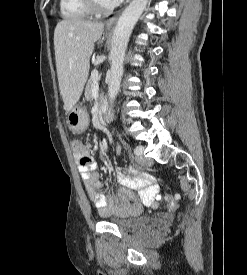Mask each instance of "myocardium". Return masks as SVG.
<instances>
[{
  "mask_svg": "<svg viewBox=\"0 0 247 275\" xmlns=\"http://www.w3.org/2000/svg\"><path fill=\"white\" fill-rule=\"evenodd\" d=\"M86 7L89 9L90 12L94 14H105L108 12H111L115 5H112L110 7H103L101 6L97 0H82Z\"/></svg>",
  "mask_w": 247,
  "mask_h": 275,
  "instance_id": "1",
  "label": "myocardium"
}]
</instances>
